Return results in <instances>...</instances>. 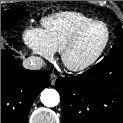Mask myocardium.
Segmentation results:
<instances>
[{
  "label": "myocardium",
  "instance_id": "myocardium-1",
  "mask_svg": "<svg viewBox=\"0 0 123 123\" xmlns=\"http://www.w3.org/2000/svg\"><path fill=\"white\" fill-rule=\"evenodd\" d=\"M95 25H101V26H103L105 28L106 38H105L104 43L102 44V46L100 47V49L96 52V54L91 59H89L87 62H85L83 64H79V65L71 64L69 62V60H68L69 53L76 46V44L78 43V41L80 40V38L82 37V35L88 29H90L91 27H93ZM110 38H111V33H110V30H109V27L103 21L94 20V21H92V22H90V23L82 26L80 29H78L74 33V35L70 38V40L65 44V46L61 50V60H62L63 65L69 71H72V72H81V71H85V70L89 69L103 55V53L105 52V50L107 49V47L109 45Z\"/></svg>",
  "mask_w": 123,
  "mask_h": 123
}]
</instances>
